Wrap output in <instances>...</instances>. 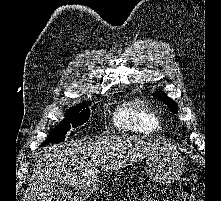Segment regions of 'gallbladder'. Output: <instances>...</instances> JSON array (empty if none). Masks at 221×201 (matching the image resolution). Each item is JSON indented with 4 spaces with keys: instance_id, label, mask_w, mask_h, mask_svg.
Wrapping results in <instances>:
<instances>
[{
    "instance_id": "gallbladder-1",
    "label": "gallbladder",
    "mask_w": 221,
    "mask_h": 201,
    "mask_svg": "<svg viewBox=\"0 0 221 201\" xmlns=\"http://www.w3.org/2000/svg\"><path fill=\"white\" fill-rule=\"evenodd\" d=\"M73 196V187L69 184L59 185L53 195L55 201H68Z\"/></svg>"
}]
</instances>
